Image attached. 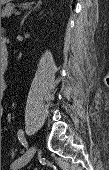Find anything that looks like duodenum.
<instances>
[{
  "label": "duodenum",
  "instance_id": "1",
  "mask_svg": "<svg viewBox=\"0 0 109 170\" xmlns=\"http://www.w3.org/2000/svg\"><path fill=\"white\" fill-rule=\"evenodd\" d=\"M3 63H4V64L7 63V55H6V53H5L4 58H3Z\"/></svg>",
  "mask_w": 109,
  "mask_h": 170
}]
</instances>
